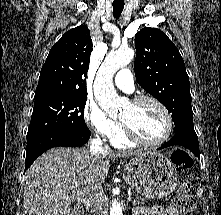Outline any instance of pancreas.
<instances>
[{
  "label": "pancreas",
  "instance_id": "cf45deb5",
  "mask_svg": "<svg viewBox=\"0 0 221 215\" xmlns=\"http://www.w3.org/2000/svg\"><path fill=\"white\" fill-rule=\"evenodd\" d=\"M131 201L133 202V204H134L135 206H137V205H139V204L143 205V204L145 203V200H144L141 196H139L138 194H136V193H133V198H132Z\"/></svg>",
  "mask_w": 221,
  "mask_h": 215
}]
</instances>
